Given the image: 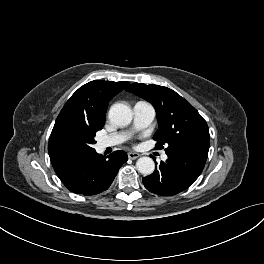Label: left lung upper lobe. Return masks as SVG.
Wrapping results in <instances>:
<instances>
[{"label": "left lung upper lobe", "mask_w": 264, "mask_h": 264, "mask_svg": "<svg viewBox=\"0 0 264 264\" xmlns=\"http://www.w3.org/2000/svg\"><path fill=\"white\" fill-rule=\"evenodd\" d=\"M126 90L155 107L159 129L153 139L157 141V149L166 145V153L186 148L208 156L210 135L207 123L183 97L167 87L153 84L133 83Z\"/></svg>", "instance_id": "1"}]
</instances>
